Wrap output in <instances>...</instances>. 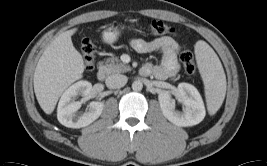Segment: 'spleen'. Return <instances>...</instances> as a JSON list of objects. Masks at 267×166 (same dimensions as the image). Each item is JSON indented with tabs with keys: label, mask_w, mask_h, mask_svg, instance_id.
I'll list each match as a JSON object with an SVG mask.
<instances>
[{
	"label": "spleen",
	"mask_w": 267,
	"mask_h": 166,
	"mask_svg": "<svg viewBox=\"0 0 267 166\" xmlns=\"http://www.w3.org/2000/svg\"><path fill=\"white\" fill-rule=\"evenodd\" d=\"M196 60L204 83L207 109L213 115L225 99L226 76L219 58L204 41L196 44Z\"/></svg>",
	"instance_id": "1"
}]
</instances>
